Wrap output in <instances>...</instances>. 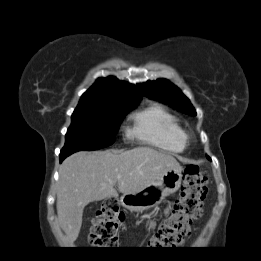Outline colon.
Returning a JSON list of instances; mask_svg holds the SVG:
<instances>
[{
  "label": "colon",
  "instance_id": "1",
  "mask_svg": "<svg viewBox=\"0 0 261 261\" xmlns=\"http://www.w3.org/2000/svg\"><path fill=\"white\" fill-rule=\"evenodd\" d=\"M207 174L196 166L186 167L179 198L171 215L159 226L149 241L153 248L179 245L191 231V224L202 216V202L207 194ZM125 214L114 200H107L96 211L89 243L98 248H116Z\"/></svg>",
  "mask_w": 261,
  "mask_h": 261
}]
</instances>
